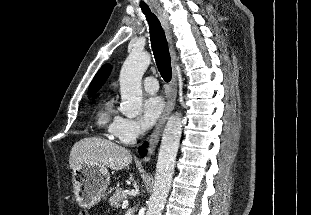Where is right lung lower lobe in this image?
<instances>
[{"mask_svg": "<svg viewBox=\"0 0 311 215\" xmlns=\"http://www.w3.org/2000/svg\"><path fill=\"white\" fill-rule=\"evenodd\" d=\"M145 145H146V144H144L142 147L139 148V153H140L141 156H144V155H145V151H146V150L144 149V146H145Z\"/></svg>", "mask_w": 311, "mask_h": 215, "instance_id": "1", "label": "right lung lower lobe"}]
</instances>
